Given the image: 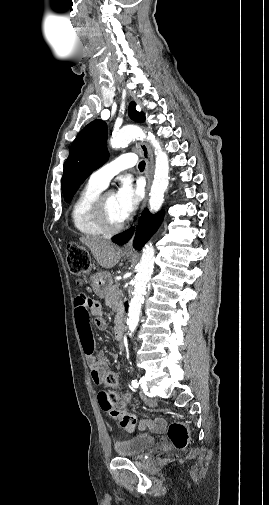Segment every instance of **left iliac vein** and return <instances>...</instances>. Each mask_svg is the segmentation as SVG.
Instances as JSON below:
<instances>
[{
  "mask_svg": "<svg viewBox=\"0 0 269 505\" xmlns=\"http://www.w3.org/2000/svg\"><path fill=\"white\" fill-rule=\"evenodd\" d=\"M140 396L142 397V399L147 402V408L148 409H155L157 407V402L155 400H152L150 398H148L142 391H140Z\"/></svg>",
  "mask_w": 269,
  "mask_h": 505,
  "instance_id": "left-iliac-vein-1",
  "label": "left iliac vein"
}]
</instances>
